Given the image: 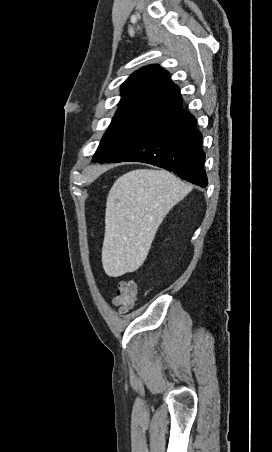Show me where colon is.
I'll use <instances>...</instances> for the list:
<instances>
[{"label":"colon","mask_w":272,"mask_h":452,"mask_svg":"<svg viewBox=\"0 0 272 452\" xmlns=\"http://www.w3.org/2000/svg\"><path fill=\"white\" fill-rule=\"evenodd\" d=\"M136 297V283L133 280H121L117 285L112 302L121 312L125 313L134 307Z\"/></svg>","instance_id":"5ec220e1"}]
</instances>
